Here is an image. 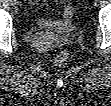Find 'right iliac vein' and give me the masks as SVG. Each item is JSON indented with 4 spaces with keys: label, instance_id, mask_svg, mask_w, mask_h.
<instances>
[{
    "label": "right iliac vein",
    "instance_id": "obj_1",
    "mask_svg": "<svg viewBox=\"0 0 111 106\" xmlns=\"http://www.w3.org/2000/svg\"><path fill=\"white\" fill-rule=\"evenodd\" d=\"M10 2H11V4H12V5H14V4H15V1H10Z\"/></svg>",
    "mask_w": 111,
    "mask_h": 106
}]
</instances>
